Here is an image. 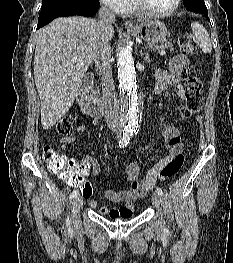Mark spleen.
Masks as SVG:
<instances>
[{
  "instance_id": "spleen-1",
  "label": "spleen",
  "mask_w": 233,
  "mask_h": 263,
  "mask_svg": "<svg viewBox=\"0 0 233 263\" xmlns=\"http://www.w3.org/2000/svg\"><path fill=\"white\" fill-rule=\"evenodd\" d=\"M192 31L204 53H211L212 45L207 30L198 22L191 23Z\"/></svg>"
}]
</instances>
